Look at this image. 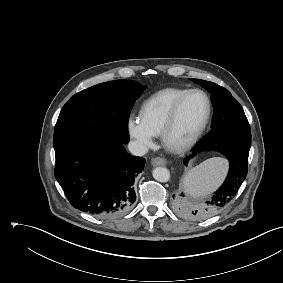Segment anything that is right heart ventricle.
<instances>
[{"instance_id": "1", "label": "right heart ventricle", "mask_w": 283, "mask_h": 283, "mask_svg": "<svg viewBox=\"0 0 283 283\" xmlns=\"http://www.w3.org/2000/svg\"><path fill=\"white\" fill-rule=\"evenodd\" d=\"M185 88H165L147 98L140 109V121L153 135H160L169 113Z\"/></svg>"}]
</instances>
